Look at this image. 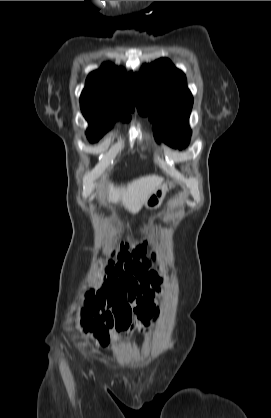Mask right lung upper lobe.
Listing matches in <instances>:
<instances>
[{"instance_id": "cb5924a9", "label": "right lung upper lobe", "mask_w": 271, "mask_h": 418, "mask_svg": "<svg viewBox=\"0 0 271 418\" xmlns=\"http://www.w3.org/2000/svg\"><path fill=\"white\" fill-rule=\"evenodd\" d=\"M136 100L135 80L132 73L111 63L89 74L80 97L82 111L106 116H129Z\"/></svg>"}]
</instances>
